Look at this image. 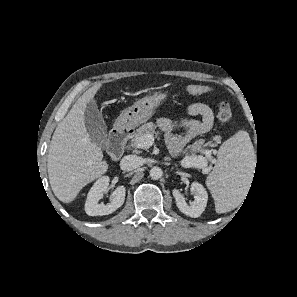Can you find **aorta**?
Returning a JSON list of instances; mask_svg holds the SVG:
<instances>
[{
    "mask_svg": "<svg viewBox=\"0 0 297 297\" xmlns=\"http://www.w3.org/2000/svg\"><path fill=\"white\" fill-rule=\"evenodd\" d=\"M163 175L162 169L160 167H153L150 170V177L153 180H158Z\"/></svg>",
    "mask_w": 297,
    "mask_h": 297,
    "instance_id": "762f6f07",
    "label": "aorta"
}]
</instances>
